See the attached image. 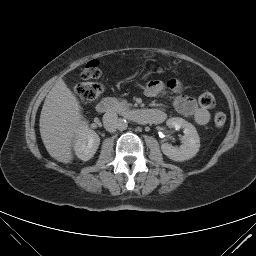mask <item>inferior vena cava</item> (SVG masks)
I'll return each instance as SVG.
<instances>
[{"mask_svg": "<svg viewBox=\"0 0 256 256\" xmlns=\"http://www.w3.org/2000/svg\"><path fill=\"white\" fill-rule=\"evenodd\" d=\"M118 115L114 111H108L103 115V124L107 131L115 132L119 124Z\"/></svg>", "mask_w": 256, "mask_h": 256, "instance_id": "1", "label": "inferior vena cava"}]
</instances>
